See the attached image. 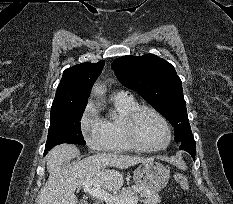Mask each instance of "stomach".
<instances>
[{"label":"stomach","instance_id":"0dacf381","mask_svg":"<svg viewBox=\"0 0 233 204\" xmlns=\"http://www.w3.org/2000/svg\"><path fill=\"white\" fill-rule=\"evenodd\" d=\"M170 178L168 169L159 162L148 161L142 163L133 174L136 185L148 189L152 192L161 191Z\"/></svg>","mask_w":233,"mask_h":204}]
</instances>
